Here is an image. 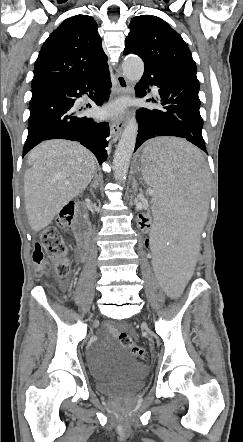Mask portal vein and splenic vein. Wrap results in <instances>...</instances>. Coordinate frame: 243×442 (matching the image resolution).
I'll list each match as a JSON object with an SVG mask.
<instances>
[{"label": "portal vein and splenic vein", "mask_w": 243, "mask_h": 442, "mask_svg": "<svg viewBox=\"0 0 243 442\" xmlns=\"http://www.w3.org/2000/svg\"><path fill=\"white\" fill-rule=\"evenodd\" d=\"M66 183H68V182H66ZM149 194H150V195H153V194H154V190H150V191H149Z\"/></svg>", "instance_id": "18ae733b"}]
</instances>
